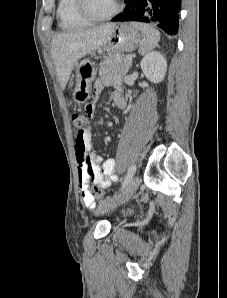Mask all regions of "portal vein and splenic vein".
I'll return each mask as SVG.
<instances>
[{"label": "portal vein and splenic vein", "mask_w": 227, "mask_h": 298, "mask_svg": "<svg viewBox=\"0 0 227 298\" xmlns=\"http://www.w3.org/2000/svg\"><path fill=\"white\" fill-rule=\"evenodd\" d=\"M127 60H128V61H132V56L128 55V56H127Z\"/></svg>", "instance_id": "obj_1"}]
</instances>
